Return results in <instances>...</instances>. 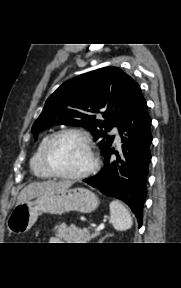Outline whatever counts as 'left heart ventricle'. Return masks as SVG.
Instances as JSON below:
<instances>
[{
	"label": "left heart ventricle",
	"mask_w": 181,
	"mask_h": 288,
	"mask_svg": "<svg viewBox=\"0 0 181 288\" xmlns=\"http://www.w3.org/2000/svg\"><path fill=\"white\" fill-rule=\"evenodd\" d=\"M55 167L67 174L79 173L90 164V156L83 140L75 135L60 138L51 154Z\"/></svg>",
	"instance_id": "1"
}]
</instances>
